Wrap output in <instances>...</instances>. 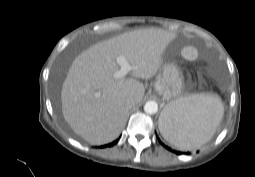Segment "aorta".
<instances>
[{
  "label": "aorta",
  "instance_id": "1",
  "mask_svg": "<svg viewBox=\"0 0 255 177\" xmlns=\"http://www.w3.org/2000/svg\"><path fill=\"white\" fill-rule=\"evenodd\" d=\"M144 111L148 114H154L158 111V104L155 101H148L144 105Z\"/></svg>",
  "mask_w": 255,
  "mask_h": 177
}]
</instances>
